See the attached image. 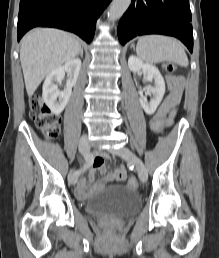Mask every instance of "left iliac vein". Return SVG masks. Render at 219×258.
<instances>
[{
	"label": "left iliac vein",
	"instance_id": "left-iliac-vein-1",
	"mask_svg": "<svg viewBox=\"0 0 219 258\" xmlns=\"http://www.w3.org/2000/svg\"><path fill=\"white\" fill-rule=\"evenodd\" d=\"M111 152L116 154V155H118V156H120V157L126 158L130 162H132L135 165V167H136L139 179L142 182H145L147 180L148 174H147V169H146L144 163L129 148L121 147L119 149H112Z\"/></svg>",
	"mask_w": 219,
	"mask_h": 258
}]
</instances>
